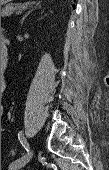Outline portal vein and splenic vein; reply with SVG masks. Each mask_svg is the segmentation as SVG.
<instances>
[{"instance_id": "portal-vein-and-splenic-vein-1", "label": "portal vein and splenic vein", "mask_w": 109, "mask_h": 170, "mask_svg": "<svg viewBox=\"0 0 109 170\" xmlns=\"http://www.w3.org/2000/svg\"><path fill=\"white\" fill-rule=\"evenodd\" d=\"M22 10L21 8H19V10L16 12L17 15L21 14L22 13Z\"/></svg>"}]
</instances>
